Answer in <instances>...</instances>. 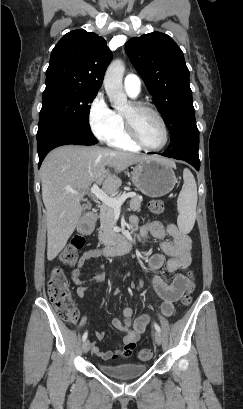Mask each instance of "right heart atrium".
<instances>
[{
    "mask_svg": "<svg viewBox=\"0 0 243 409\" xmlns=\"http://www.w3.org/2000/svg\"><path fill=\"white\" fill-rule=\"evenodd\" d=\"M88 124L98 139L107 142L112 141L122 127L121 118L110 108L102 92L97 93L89 104Z\"/></svg>",
    "mask_w": 243,
    "mask_h": 409,
    "instance_id": "1",
    "label": "right heart atrium"
}]
</instances>
